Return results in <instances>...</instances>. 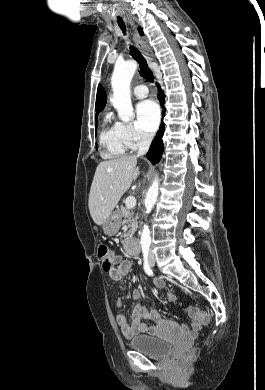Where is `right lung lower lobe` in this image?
I'll return each instance as SVG.
<instances>
[{"label":"right lung lower lobe","mask_w":265,"mask_h":390,"mask_svg":"<svg viewBox=\"0 0 265 390\" xmlns=\"http://www.w3.org/2000/svg\"><path fill=\"white\" fill-rule=\"evenodd\" d=\"M158 93H159V95H158L159 101L163 105L164 101H165V99H164L165 96L160 88L158 90ZM164 113H165V110H163V114ZM164 128H165V126H164V123L162 122L160 125V130L157 132L156 137L154 138V140L150 146V149L147 153V159L154 165L159 162V160L161 159L162 153H163L164 146H163L162 136L164 133Z\"/></svg>","instance_id":"1"}]
</instances>
